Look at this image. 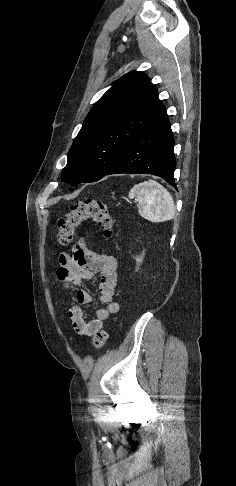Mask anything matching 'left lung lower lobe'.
I'll list each match as a JSON object with an SVG mask.
<instances>
[{"mask_svg":"<svg viewBox=\"0 0 236 486\" xmlns=\"http://www.w3.org/2000/svg\"><path fill=\"white\" fill-rule=\"evenodd\" d=\"M174 137L166 111L143 130L105 175L152 174L176 188Z\"/></svg>","mask_w":236,"mask_h":486,"instance_id":"1","label":"left lung lower lobe"}]
</instances>
